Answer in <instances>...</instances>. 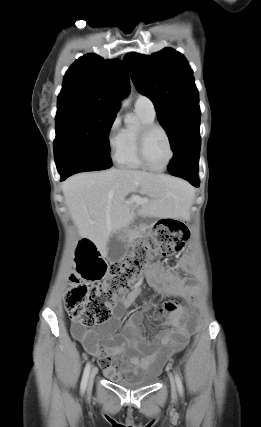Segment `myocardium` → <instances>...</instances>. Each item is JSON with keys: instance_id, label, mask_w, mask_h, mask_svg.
I'll use <instances>...</instances> for the list:
<instances>
[{"instance_id": "f54148a6", "label": "myocardium", "mask_w": 261, "mask_h": 427, "mask_svg": "<svg viewBox=\"0 0 261 427\" xmlns=\"http://www.w3.org/2000/svg\"><path fill=\"white\" fill-rule=\"evenodd\" d=\"M155 131H160L163 133V135L165 136V138L167 140V143L169 146V152H170V155H169V158H168L166 164L160 168L152 166L149 163V161L147 159V155H146V146H147L148 138ZM137 154H138V158H139L140 162L147 169L152 170V171H156V172H161V171L166 170L169 167V165L171 164V162L173 161L174 154H175L174 148H173V143H172L171 137H170L169 133L167 132V130L164 127H162L161 125L155 124V123L146 124V125L141 126L138 129V133H137Z\"/></svg>"}]
</instances>
